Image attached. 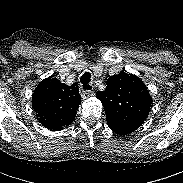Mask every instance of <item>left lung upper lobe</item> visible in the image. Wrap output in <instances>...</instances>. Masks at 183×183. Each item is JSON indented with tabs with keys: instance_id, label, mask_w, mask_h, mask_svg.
Returning a JSON list of instances; mask_svg holds the SVG:
<instances>
[{
	"instance_id": "obj_1",
	"label": "left lung upper lobe",
	"mask_w": 183,
	"mask_h": 183,
	"mask_svg": "<svg viewBox=\"0 0 183 183\" xmlns=\"http://www.w3.org/2000/svg\"><path fill=\"white\" fill-rule=\"evenodd\" d=\"M105 91H98L96 97L102 102L107 124L120 127H140L146 120L152 98L139 77L121 71L109 77Z\"/></svg>"
}]
</instances>
